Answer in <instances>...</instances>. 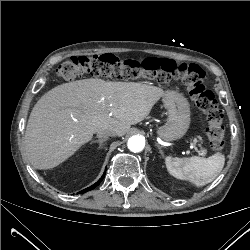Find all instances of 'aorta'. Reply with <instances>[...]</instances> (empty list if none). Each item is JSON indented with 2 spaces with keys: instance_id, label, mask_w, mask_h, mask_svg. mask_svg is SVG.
I'll return each instance as SVG.
<instances>
[{
  "instance_id": "1",
  "label": "aorta",
  "mask_w": 250,
  "mask_h": 250,
  "mask_svg": "<svg viewBox=\"0 0 250 250\" xmlns=\"http://www.w3.org/2000/svg\"><path fill=\"white\" fill-rule=\"evenodd\" d=\"M145 147V140L142 136H132L128 140V148L132 152H140Z\"/></svg>"
}]
</instances>
